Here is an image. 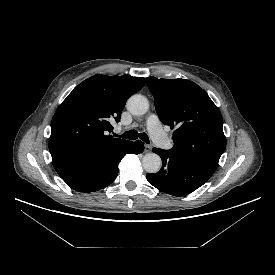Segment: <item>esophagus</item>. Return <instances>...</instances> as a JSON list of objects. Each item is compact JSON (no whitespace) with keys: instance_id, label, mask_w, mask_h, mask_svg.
Returning a JSON list of instances; mask_svg holds the SVG:
<instances>
[{"instance_id":"34e87169","label":"esophagus","mask_w":275,"mask_h":275,"mask_svg":"<svg viewBox=\"0 0 275 275\" xmlns=\"http://www.w3.org/2000/svg\"><path fill=\"white\" fill-rule=\"evenodd\" d=\"M151 150H152L151 145L146 144V145H145V147H144V151H145V153H149V152H151Z\"/></svg>"}]
</instances>
